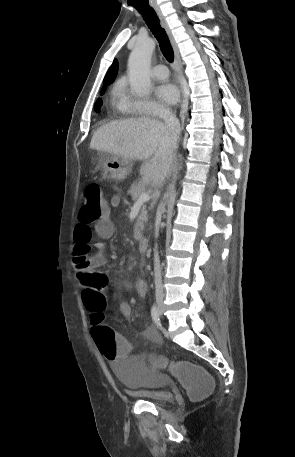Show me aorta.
I'll return each mask as SVG.
<instances>
[{"mask_svg":"<svg viewBox=\"0 0 295 457\" xmlns=\"http://www.w3.org/2000/svg\"><path fill=\"white\" fill-rule=\"evenodd\" d=\"M155 49L151 38L138 40L128 59V74L131 90L138 96H146L151 90L150 64ZM180 162L182 161L181 155ZM182 163L179 170L182 169Z\"/></svg>","mask_w":295,"mask_h":457,"instance_id":"aorta-1","label":"aorta"}]
</instances>
